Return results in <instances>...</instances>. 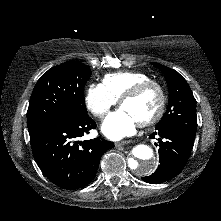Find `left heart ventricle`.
Here are the masks:
<instances>
[{
	"label": "left heart ventricle",
	"instance_id": "b2bd125f",
	"mask_svg": "<svg viewBox=\"0 0 221 221\" xmlns=\"http://www.w3.org/2000/svg\"><path fill=\"white\" fill-rule=\"evenodd\" d=\"M159 100L158 90L155 87H149L139 96L125 101L122 108L132 114L140 123L156 112Z\"/></svg>",
	"mask_w": 221,
	"mask_h": 221
}]
</instances>
